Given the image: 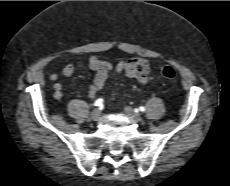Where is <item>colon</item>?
I'll list each match as a JSON object with an SVG mask.
<instances>
[{
  "label": "colon",
  "instance_id": "5ec220e1",
  "mask_svg": "<svg viewBox=\"0 0 230 186\" xmlns=\"http://www.w3.org/2000/svg\"><path fill=\"white\" fill-rule=\"evenodd\" d=\"M157 71L166 79H173L176 76L175 70L168 65H159Z\"/></svg>",
  "mask_w": 230,
  "mask_h": 186
}]
</instances>
